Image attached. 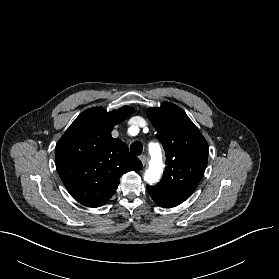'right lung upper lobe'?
I'll list each match as a JSON object with an SVG mask.
<instances>
[{
    "instance_id": "obj_1",
    "label": "right lung upper lobe",
    "mask_w": 279,
    "mask_h": 279,
    "mask_svg": "<svg viewBox=\"0 0 279 279\" xmlns=\"http://www.w3.org/2000/svg\"><path fill=\"white\" fill-rule=\"evenodd\" d=\"M133 112L128 106L112 112L102 107L87 109L56 144L55 163L60 178L82 205L102 206L116 192L123 174L142 169L128 146L111 136L114 126Z\"/></svg>"
}]
</instances>
